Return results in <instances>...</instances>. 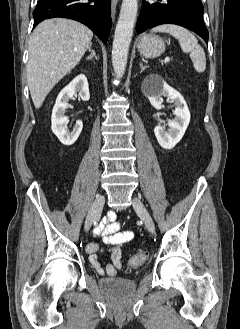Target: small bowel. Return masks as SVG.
Segmentation results:
<instances>
[{
  "mask_svg": "<svg viewBox=\"0 0 240 329\" xmlns=\"http://www.w3.org/2000/svg\"><path fill=\"white\" fill-rule=\"evenodd\" d=\"M95 233L101 236L103 242L109 247L103 248L97 243H89L87 246L89 262L98 273L116 276L122 268V252L120 247L130 241L134 234L130 230H121L120 223L116 221V214L112 211H110L106 219L96 227ZM101 252L107 253L110 258V262L104 267L101 265L98 255Z\"/></svg>",
  "mask_w": 240,
  "mask_h": 329,
  "instance_id": "c3829d8e",
  "label": "small bowel"
}]
</instances>
